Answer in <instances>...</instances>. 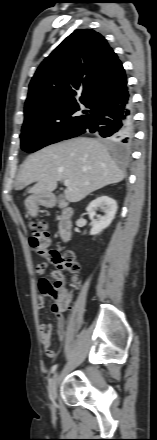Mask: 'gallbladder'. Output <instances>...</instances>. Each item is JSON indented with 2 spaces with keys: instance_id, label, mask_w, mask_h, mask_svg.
Masks as SVG:
<instances>
[{
  "instance_id": "bac80fb5",
  "label": "gallbladder",
  "mask_w": 157,
  "mask_h": 440,
  "mask_svg": "<svg viewBox=\"0 0 157 440\" xmlns=\"http://www.w3.org/2000/svg\"><path fill=\"white\" fill-rule=\"evenodd\" d=\"M58 199H62V196H61V195H58Z\"/></svg>"
}]
</instances>
